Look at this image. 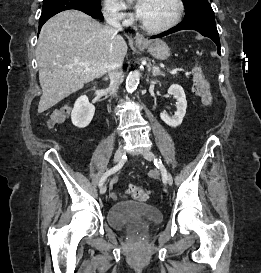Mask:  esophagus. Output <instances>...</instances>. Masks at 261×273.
I'll return each instance as SVG.
<instances>
[{"label": "esophagus", "instance_id": "1", "mask_svg": "<svg viewBox=\"0 0 261 273\" xmlns=\"http://www.w3.org/2000/svg\"><path fill=\"white\" fill-rule=\"evenodd\" d=\"M143 40H144V37H143L141 34H136V36H135V41H136L137 43H142Z\"/></svg>", "mask_w": 261, "mask_h": 273}]
</instances>
